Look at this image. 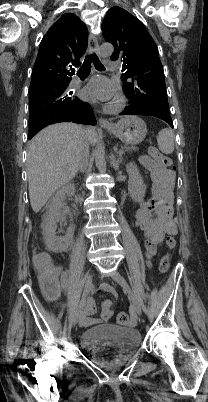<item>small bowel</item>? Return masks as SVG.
<instances>
[{"label":"small bowel","mask_w":208,"mask_h":402,"mask_svg":"<svg viewBox=\"0 0 208 402\" xmlns=\"http://www.w3.org/2000/svg\"><path fill=\"white\" fill-rule=\"evenodd\" d=\"M141 164L149 171V178L152 183V197L144 202L134 212V224L142 233L146 242V255L150 257L157 247L163 242L166 236L177 234V225L174 221L173 208V186L175 180L174 172L167 166L155 161L151 157L142 156ZM38 256H43L39 254ZM63 278L62 288L68 289L69 283L66 276L68 272H61ZM101 290L117 296V292L113 286L104 282L101 285ZM97 297L102 295L100 290L95 292ZM45 299L52 302L57 295H44ZM94 305L92 300H87L85 310L80 315L79 322L81 329L88 330L93 322H97L92 316ZM111 301L105 300L102 304V320L107 321L111 318ZM66 329L71 327L69 322L64 324Z\"/></svg>","instance_id":"c3829d8e"}]
</instances>
